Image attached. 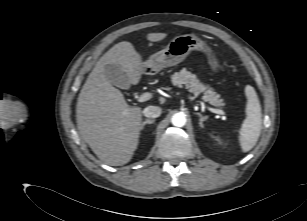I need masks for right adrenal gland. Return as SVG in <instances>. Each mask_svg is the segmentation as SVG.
<instances>
[{
    "label": "right adrenal gland",
    "mask_w": 307,
    "mask_h": 221,
    "mask_svg": "<svg viewBox=\"0 0 307 221\" xmlns=\"http://www.w3.org/2000/svg\"><path fill=\"white\" fill-rule=\"evenodd\" d=\"M154 122H155L154 119H147V120H145V121L142 123V125H141V130L144 129V126H145L146 124H152V123H154Z\"/></svg>",
    "instance_id": "2a0ac1e0"
}]
</instances>
